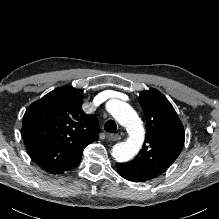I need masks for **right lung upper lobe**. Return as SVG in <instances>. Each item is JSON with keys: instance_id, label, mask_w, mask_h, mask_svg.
Returning a JSON list of instances; mask_svg holds the SVG:
<instances>
[{"instance_id": "right-lung-upper-lobe-1", "label": "right lung upper lobe", "mask_w": 219, "mask_h": 219, "mask_svg": "<svg viewBox=\"0 0 219 219\" xmlns=\"http://www.w3.org/2000/svg\"><path fill=\"white\" fill-rule=\"evenodd\" d=\"M83 92L56 88L30 105L23 117L22 136L32 160L58 174L79 164L84 148L99 139L95 115L82 110Z\"/></svg>"}]
</instances>
